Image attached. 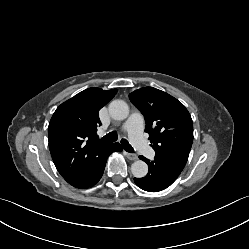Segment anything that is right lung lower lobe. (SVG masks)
<instances>
[{
	"label": "right lung lower lobe",
	"mask_w": 249,
	"mask_h": 249,
	"mask_svg": "<svg viewBox=\"0 0 249 249\" xmlns=\"http://www.w3.org/2000/svg\"><path fill=\"white\" fill-rule=\"evenodd\" d=\"M115 151H122L119 143H110L107 147L99 151L90 168L74 187L86 189L95 185L103 175L108 156Z\"/></svg>",
	"instance_id": "1"
}]
</instances>
